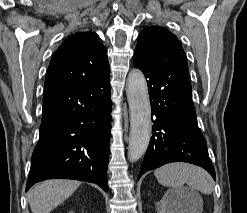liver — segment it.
<instances>
[{
	"instance_id": "obj_1",
	"label": "liver",
	"mask_w": 247,
	"mask_h": 213,
	"mask_svg": "<svg viewBox=\"0 0 247 213\" xmlns=\"http://www.w3.org/2000/svg\"><path fill=\"white\" fill-rule=\"evenodd\" d=\"M75 180L52 179L35 185L29 192L32 213H50L80 186Z\"/></svg>"
}]
</instances>
